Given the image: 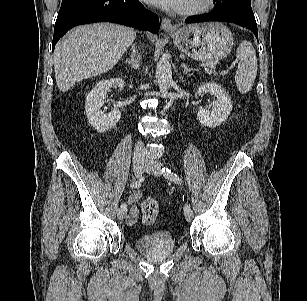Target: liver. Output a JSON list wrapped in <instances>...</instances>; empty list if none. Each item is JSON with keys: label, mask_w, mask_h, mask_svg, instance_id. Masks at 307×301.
Wrapping results in <instances>:
<instances>
[{"label": "liver", "mask_w": 307, "mask_h": 301, "mask_svg": "<svg viewBox=\"0 0 307 301\" xmlns=\"http://www.w3.org/2000/svg\"><path fill=\"white\" fill-rule=\"evenodd\" d=\"M134 29L94 23L72 29L53 53L56 83L66 92L76 83L112 69L134 42Z\"/></svg>", "instance_id": "6515ba94"}]
</instances>
